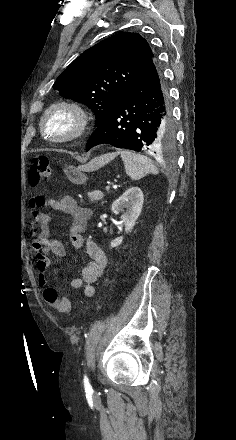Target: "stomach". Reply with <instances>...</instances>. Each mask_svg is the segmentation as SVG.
<instances>
[{"mask_svg":"<svg viewBox=\"0 0 236 440\" xmlns=\"http://www.w3.org/2000/svg\"><path fill=\"white\" fill-rule=\"evenodd\" d=\"M115 156V155H114ZM97 161L93 160L90 164L82 167L66 166L64 168V173L67 178L74 184H84L87 181V177L84 172L93 171L97 169Z\"/></svg>","mask_w":236,"mask_h":440,"instance_id":"1","label":"stomach"}]
</instances>
